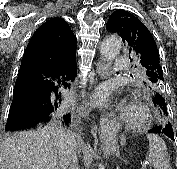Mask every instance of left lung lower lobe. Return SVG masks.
Segmentation results:
<instances>
[{"mask_svg": "<svg viewBox=\"0 0 177 169\" xmlns=\"http://www.w3.org/2000/svg\"><path fill=\"white\" fill-rule=\"evenodd\" d=\"M153 101H154L155 104L159 105L160 102H161V98L159 96H155L153 98ZM149 132L164 134V135L168 136L169 138H171L172 140H174L173 129L171 127H169L168 125H163L162 124L160 126L152 128L151 130H149Z\"/></svg>", "mask_w": 177, "mask_h": 169, "instance_id": "0a47b994", "label": "left lung lower lobe"}]
</instances>
